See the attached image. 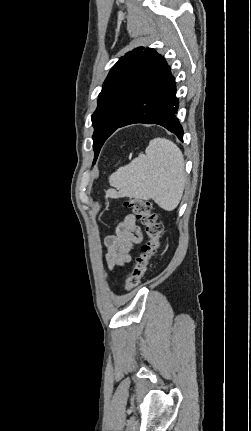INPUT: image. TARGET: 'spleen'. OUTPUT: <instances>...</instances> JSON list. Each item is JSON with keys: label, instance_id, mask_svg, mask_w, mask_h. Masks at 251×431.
<instances>
[{"label": "spleen", "instance_id": "spleen-1", "mask_svg": "<svg viewBox=\"0 0 251 431\" xmlns=\"http://www.w3.org/2000/svg\"><path fill=\"white\" fill-rule=\"evenodd\" d=\"M184 157L178 146L165 138L150 141L145 154L109 176L111 198L129 197L154 200L167 211L174 210L184 192Z\"/></svg>", "mask_w": 251, "mask_h": 431}]
</instances>
